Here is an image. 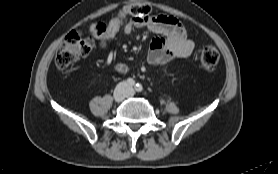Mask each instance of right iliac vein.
I'll use <instances>...</instances> for the list:
<instances>
[{
  "label": "right iliac vein",
  "instance_id": "obj_1",
  "mask_svg": "<svg viewBox=\"0 0 278 174\" xmlns=\"http://www.w3.org/2000/svg\"><path fill=\"white\" fill-rule=\"evenodd\" d=\"M114 100L117 102V103H120L122 102L125 97L127 96V89L125 87V85H119L115 91H114Z\"/></svg>",
  "mask_w": 278,
  "mask_h": 174
}]
</instances>
